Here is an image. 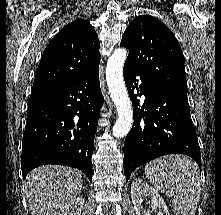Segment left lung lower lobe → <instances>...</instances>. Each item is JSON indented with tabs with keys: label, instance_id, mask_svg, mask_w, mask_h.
<instances>
[{
	"label": "left lung lower lobe",
	"instance_id": "obj_1",
	"mask_svg": "<svg viewBox=\"0 0 221 215\" xmlns=\"http://www.w3.org/2000/svg\"><path fill=\"white\" fill-rule=\"evenodd\" d=\"M123 74L134 107V123L124 142L126 181L135 168L167 154H186L201 168L200 147L187 94L168 88L127 64ZM136 77L142 82L139 87ZM141 95L146 99L140 107L137 96Z\"/></svg>",
	"mask_w": 221,
	"mask_h": 215
}]
</instances>
